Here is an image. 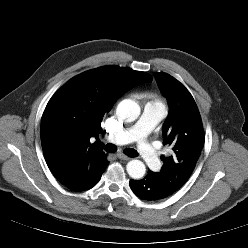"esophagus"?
<instances>
[{"instance_id":"1","label":"esophagus","mask_w":248,"mask_h":248,"mask_svg":"<svg viewBox=\"0 0 248 248\" xmlns=\"http://www.w3.org/2000/svg\"><path fill=\"white\" fill-rule=\"evenodd\" d=\"M117 157H118L119 159H121V160H126V161H128V160L131 159L130 157L126 156V155L123 154V153H118V154H117Z\"/></svg>"}]
</instances>
